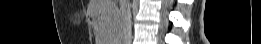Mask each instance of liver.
Listing matches in <instances>:
<instances>
[{"label":"liver","instance_id":"obj_1","mask_svg":"<svg viewBox=\"0 0 261 44\" xmlns=\"http://www.w3.org/2000/svg\"><path fill=\"white\" fill-rule=\"evenodd\" d=\"M113 0H90L88 13L91 14L93 24H124V19H121L119 8L113 6ZM96 31L97 44H120V41L108 40H123V31L119 30V25H94Z\"/></svg>","mask_w":261,"mask_h":44}]
</instances>
